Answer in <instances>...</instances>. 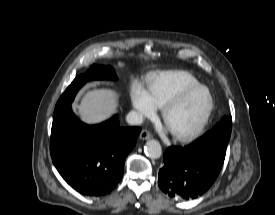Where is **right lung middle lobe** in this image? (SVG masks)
I'll use <instances>...</instances> for the list:
<instances>
[{
  "instance_id": "1",
  "label": "right lung middle lobe",
  "mask_w": 275,
  "mask_h": 215,
  "mask_svg": "<svg viewBox=\"0 0 275 215\" xmlns=\"http://www.w3.org/2000/svg\"><path fill=\"white\" fill-rule=\"evenodd\" d=\"M91 79H116L114 69L110 66L104 67L99 65L91 66L85 74L79 75L74 81L68 86L62 96L59 98L55 110L63 106L71 104L78 90Z\"/></svg>"
}]
</instances>
